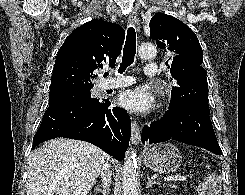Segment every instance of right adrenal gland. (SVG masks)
I'll list each match as a JSON object with an SVG mask.
<instances>
[{
  "label": "right adrenal gland",
  "instance_id": "right-adrenal-gland-1",
  "mask_svg": "<svg viewBox=\"0 0 245 195\" xmlns=\"http://www.w3.org/2000/svg\"><path fill=\"white\" fill-rule=\"evenodd\" d=\"M94 190L96 193L102 192V189L98 185L95 186Z\"/></svg>",
  "mask_w": 245,
  "mask_h": 195
}]
</instances>
